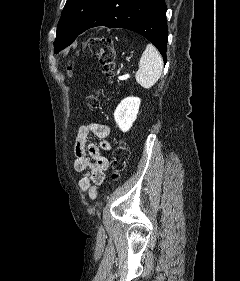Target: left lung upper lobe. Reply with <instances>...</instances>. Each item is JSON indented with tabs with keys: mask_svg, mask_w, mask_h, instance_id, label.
Masks as SVG:
<instances>
[{
	"mask_svg": "<svg viewBox=\"0 0 240 281\" xmlns=\"http://www.w3.org/2000/svg\"><path fill=\"white\" fill-rule=\"evenodd\" d=\"M103 0H67L59 20L54 52L74 42L81 29Z\"/></svg>",
	"mask_w": 240,
	"mask_h": 281,
	"instance_id": "obj_1",
	"label": "left lung upper lobe"
}]
</instances>
